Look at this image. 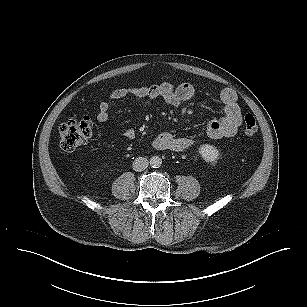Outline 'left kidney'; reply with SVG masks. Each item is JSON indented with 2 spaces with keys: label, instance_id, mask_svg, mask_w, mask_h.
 Instances as JSON below:
<instances>
[{
  "label": "left kidney",
  "instance_id": "5707ae66",
  "mask_svg": "<svg viewBox=\"0 0 307 307\" xmlns=\"http://www.w3.org/2000/svg\"><path fill=\"white\" fill-rule=\"evenodd\" d=\"M199 153L206 162H215L219 158V151L209 144L200 146Z\"/></svg>",
  "mask_w": 307,
  "mask_h": 307
}]
</instances>
